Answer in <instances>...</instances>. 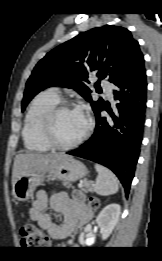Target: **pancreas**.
Wrapping results in <instances>:
<instances>
[{
  "instance_id": "1",
  "label": "pancreas",
  "mask_w": 162,
  "mask_h": 261,
  "mask_svg": "<svg viewBox=\"0 0 162 261\" xmlns=\"http://www.w3.org/2000/svg\"><path fill=\"white\" fill-rule=\"evenodd\" d=\"M63 186H65V187H67V188H70V187H71V185H70L69 183H67V182H64V183H63ZM81 190H82L83 192L92 191V187H91V185H90V183H89L88 181H84V182H83V186L81 187Z\"/></svg>"
}]
</instances>
